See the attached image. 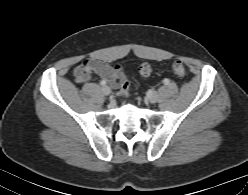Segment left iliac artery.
I'll return each mask as SVG.
<instances>
[{
	"label": "left iliac artery",
	"instance_id": "1",
	"mask_svg": "<svg viewBox=\"0 0 248 195\" xmlns=\"http://www.w3.org/2000/svg\"><path fill=\"white\" fill-rule=\"evenodd\" d=\"M163 83H164V84H168V83H169V80H168V79H164V80H163Z\"/></svg>",
	"mask_w": 248,
	"mask_h": 195
}]
</instances>
